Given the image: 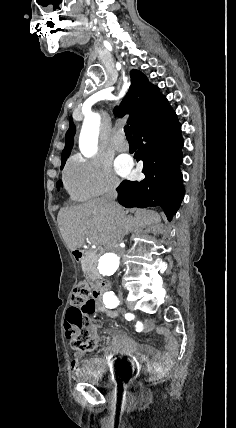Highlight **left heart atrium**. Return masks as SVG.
Wrapping results in <instances>:
<instances>
[{"instance_id": "39dd6f15", "label": "left heart atrium", "mask_w": 236, "mask_h": 428, "mask_svg": "<svg viewBox=\"0 0 236 428\" xmlns=\"http://www.w3.org/2000/svg\"><path fill=\"white\" fill-rule=\"evenodd\" d=\"M116 170L122 176L128 175L130 172V162L126 159H122L119 163H117Z\"/></svg>"}]
</instances>
